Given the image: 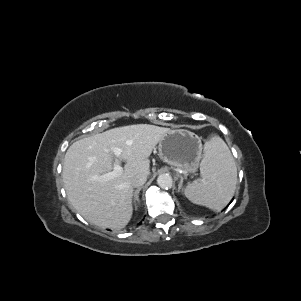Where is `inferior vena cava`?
I'll return each mask as SVG.
<instances>
[{"instance_id": "1", "label": "inferior vena cava", "mask_w": 301, "mask_h": 301, "mask_svg": "<svg viewBox=\"0 0 301 301\" xmlns=\"http://www.w3.org/2000/svg\"><path fill=\"white\" fill-rule=\"evenodd\" d=\"M147 180V174L146 173H138L136 174L131 181V184L133 187H141L144 185V183Z\"/></svg>"}]
</instances>
